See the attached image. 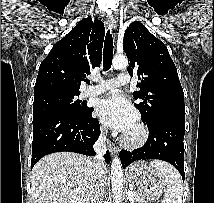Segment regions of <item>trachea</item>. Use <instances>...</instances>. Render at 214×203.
I'll return each instance as SVG.
<instances>
[{
  "label": "trachea",
  "mask_w": 214,
  "mask_h": 203,
  "mask_svg": "<svg viewBox=\"0 0 214 203\" xmlns=\"http://www.w3.org/2000/svg\"><path fill=\"white\" fill-rule=\"evenodd\" d=\"M113 57V38L112 34L108 30L105 37L104 49H103V70L107 71L111 68Z\"/></svg>",
  "instance_id": "1"
}]
</instances>
